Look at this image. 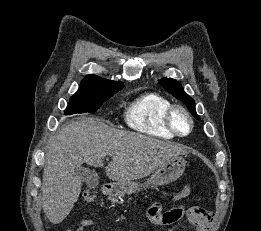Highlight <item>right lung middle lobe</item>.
<instances>
[{
  "label": "right lung middle lobe",
  "mask_w": 261,
  "mask_h": 231,
  "mask_svg": "<svg viewBox=\"0 0 261 231\" xmlns=\"http://www.w3.org/2000/svg\"><path fill=\"white\" fill-rule=\"evenodd\" d=\"M116 92L96 94V95H78L74 94L68 103L64 115L75 113H94L104 101L108 100Z\"/></svg>",
  "instance_id": "dd1d6c3e"
}]
</instances>
